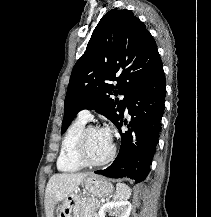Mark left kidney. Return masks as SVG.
Returning a JSON list of instances; mask_svg holds the SVG:
<instances>
[{
    "label": "left kidney",
    "instance_id": "1",
    "mask_svg": "<svg viewBox=\"0 0 211 217\" xmlns=\"http://www.w3.org/2000/svg\"><path fill=\"white\" fill-rule=\"evenodd\" d=\"M130 212V202L125 200L111 201L102 205L96 217H105L107 213L114 217H129Z\"/></svg>",
    "mask_w": 211,
    "mask_h": 217
}]
</instances>
